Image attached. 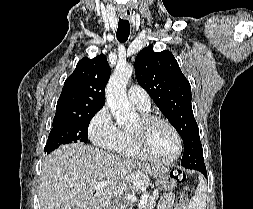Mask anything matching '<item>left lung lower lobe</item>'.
I'll return each mask as SVG.
<instances>
[{"label": "left lung lower lobe", "mask_w": 253, "mask_h": 209, "mask_svg": "<svg viewBox=\"0 0 253 209\" xmlns=\"http://www.w3.org/2000/svg\"><path fill=\"white\" fill-rule=\"evenodd\" d=\"M194 170L200 171L204 176H207L206 167L204 162L196 164V168Z\"/></svg>", "instance_id": "left-lung-lower-lobe-1"}]
</instances>
